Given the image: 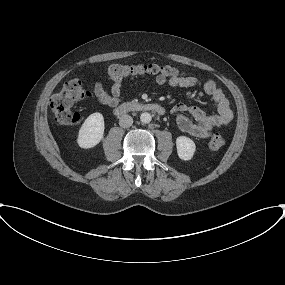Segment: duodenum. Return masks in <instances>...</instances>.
I'll use <instances>...</instances> for the list:
<instances>
[{
	"label": "duodenum",
	"instance_id": "duodenum-1",
	"mask_svg": "<svg viewBox=\"0 0 285 285\" xmlns=\"http://www.w3.org/2000/svg\"><path fill=\"white\" fill-rule=\"evenodd\" d=\"M114 112L118 116L125 115L130 112H152L162 116L165 114V108L157 103L128 102L116 107Z\"/></svg>",
	"mask_w": 285,
	"mask_h": 285
}]
</instances>
